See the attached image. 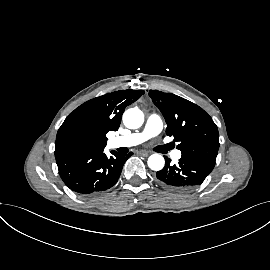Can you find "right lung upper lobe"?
I'll list each match as a JSON object with an SVG mask.
<instances>
[{
  "mask_svg": "<svg viewBox=\"0 0 270 270\" xmlns=\"http://www.w3.org/2000/svg\"><path fill=\"white\" fill-rule=\"evenodd\" d=\"M143 94V90H119L80 105L59 128L55 154L87 147H105L106 134L118 130L126 106L135 102ZM75 133L81 134L84 140L77 146H70L66 143V139Z\"/></svg>",
  "mask_w": 270,
  "mask_h": 270,
  "instance_id": "obj_1",
  "label": "right lung upper lobe"
}]
</instances>
